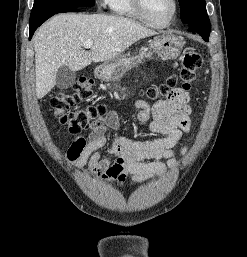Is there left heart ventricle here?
Segmentation results:
<instances>
[{
	"label": "left heart ventricle",
	"instance_id": "1",
	"mask_svg": "<svg viewBox=\"0 0 247 257\" xmlns=\"http://www.w3.org/2000/svg\"><path fill=\"white\" fill-rule=\"evenodd\" d=\"M144 6L149 18L158 24L167 22L173 12L172 0H144Z\"/></svg>",
	"mask_w": 247,
	"mask_h": 257
}]
</instances>
